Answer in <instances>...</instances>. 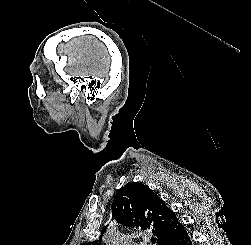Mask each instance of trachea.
I'll return each mask as SVG.
<instances>
[{
    "label": "trachea",
    "instance_id": "obj_1",
    "mask_svg": "<svg viewBox=\"0 0 251 245\" xmlns=\"http://www.w3.org/2000/svg\"><path fill=\"white\" fill-rule=\"evenodd\" d=\"M151 242L154 244L156 242V238L152 237Z\"/></svg>",
    "mask_w": 251,
    "mask_h": 245
}]
</instances>
